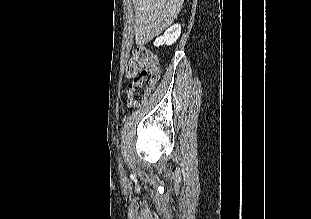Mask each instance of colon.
<instances>
[{"mask_svg": "<svg viewBox=\"0 0 311 219\" xmlns=\"http://www.w3.org/2000/svg\"><path fill=\"white\" fill-rule=\"evenodd\" d=\"M126 75L133 79L127 88L129 105L138 106L149 97L159 79L156 55L146 47L137 48L128 60Z\"/></svg>", "mask_w": 311, "mask_h": 219, "instance_id": "1", "label": "colon"}]
</instances>
